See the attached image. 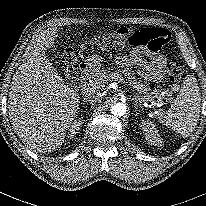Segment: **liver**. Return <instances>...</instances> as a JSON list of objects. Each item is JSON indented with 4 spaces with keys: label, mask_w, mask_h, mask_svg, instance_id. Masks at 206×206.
<instances>
[{
    "label": "liver",
    "mask_w": 206,
    "mask_h": 206,
    "mask_svg": "<svg viewBox=\"0 0 206 206\" xmlns=\"http://www.w3.org/2000/svg\"><path fill=\"white\" fill-rule=\"evenodd\" d=\"M57 34V27H49L39 35L13 75L8 95L14 131L26 147L39 153H49L63 143L79 107L78 92L64 84L45 55ZM101 62L102 57L92 55L87 65L97 72Z\"/></svg>",
    "instance_id": "liver-1"
}]
</instances>
